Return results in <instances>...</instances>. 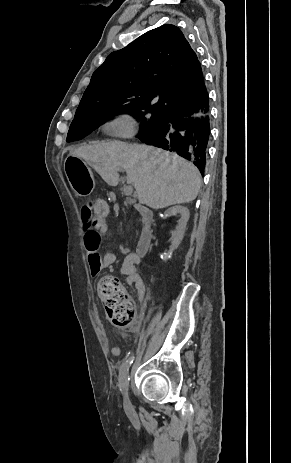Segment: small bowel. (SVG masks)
I'll list each match as a JSON object with an SVG mask.
<instances>
[{
	"mask_svg": "<svg viewBox=\"0 0 291 463\" xmlns=\"http://www.w3.org/2000/svg\"><path fill=\"white\" fill-rule=\"evenodd\" d=\"M106 218L107 217H97L94 227L92 229H86L83 234V248L86 253L88 269L92 277H98L103 269L112 267L116 262V255L114 253L107 252L103 255L99 253L101 237L108 229ZM138 261L139 255L137 253H127L123 262L122 273L125 275L126 283L136 288L138 298L142 301L145 288L135 269ZM111 353L114 356H119L121 354L120 347L114 346L111 349Z\"/></svg>",
	"mask_w": 291,
	"mask_h": 463,
	"instance_id": "small-bowel-1",
	"label": "small bowel"
}]
</instances>
